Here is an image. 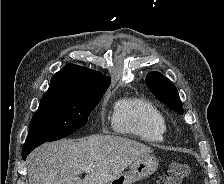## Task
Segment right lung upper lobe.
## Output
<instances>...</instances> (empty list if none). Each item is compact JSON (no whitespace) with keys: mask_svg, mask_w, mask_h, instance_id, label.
<instances>
[{"mask_svg":"<svg viewBox=\"0 0 224 184\" xmlns=\"http://www.w3.org/2000/svg\"><path fill=\"white\" fill-rule=\"evenodd\" d=\"M111 79L100 72L68 64L51 78L44 97H77L107 89Z\"/></svg>","mask_w":224,"mask_h":184,"instance_id":"right-lung-upper-lobe-1","label":"right lung upper lobe"}]
</instances>
